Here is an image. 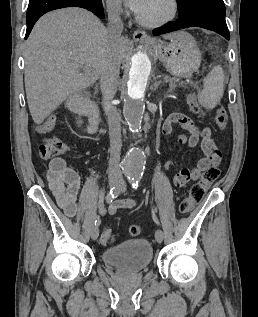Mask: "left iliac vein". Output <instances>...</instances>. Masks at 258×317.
<instances>
[{"mask_svg":"<svg viewBox=\"0 0 258 317\" xmlns=\"http://www.w3.org/2000/svg\"><path fill=\"white\" fill-rule=\"evenodd\" d=\"M119 182H120V184L118 185V188L120 189L119 192H120V193H121V192L123 193V192H124L123 190L126 189L125 187H126L127 184H126V182L124 181L123 178H120V179H119ZM121 189H123V190L121 191ZM155 235H156L155 238H156L157 241H162L163 238H164V237H163L164 234H163V232H162L161 229H156V230H155Z\"/></svg>","mask_w":258,"mask_h":317,"instance_id":"4c4485c4","label":"left iliac vein"}]
</instances>
